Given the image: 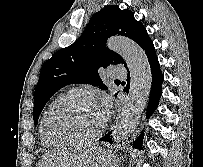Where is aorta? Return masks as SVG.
Here are the masks:
<instances>
[{
  "mask_svg": "<svg viewBox=\"0 0 203 167\" xmlns=\"http://www.w3.org/2000/svg\"><path fill=\"white\" fill-rule=\"evenodd\" d=\"M107 46L122 56L131 77L128 98L111 133L118 143L128 139L138 125L150 93L152 74L145 52L134 41L115 36L108 40Z\"/></svg>",
  "mask_w": 203,
  "mask_h": 167,
  "instance_id": "762f6f07",
  "label": "aorta"
}]
</instances>
